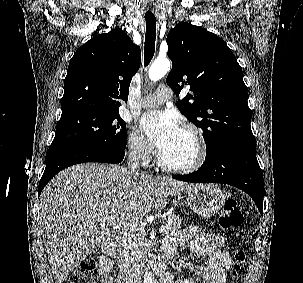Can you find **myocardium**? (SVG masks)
<instances>
[{
    "mask_svg": "<svg viewBox=\"0 0 303 283\" xmlns=\"http://www.w3.org/2000/svg\"><path fill=\"white\" fill-rule=\"evenodd\" d=\"M181 129L189 132L196 141L197 154L194 161L186 166L170 165L164 160L161 152L158 153L157 161H158V165L167 172L174 174H190L200 169L204 164L207 157V143L202 131L195 124L184 123L181 126Z\"/></svg>",
    "mask_w": 303,
    "mask_h": 283,
    "instance_id": "f54148a6",
    "label": "myocardium"
}]
</instances>
